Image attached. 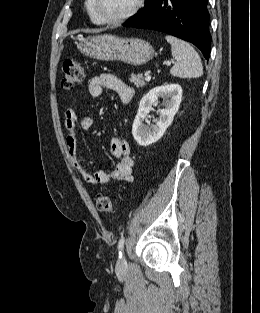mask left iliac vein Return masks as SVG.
<instances>
[{"mask_svg": "<svg viewBox=\"0 0 260 313\" xmlns=\"http://www.w3.org/2000/svg\"><path fill=\"white\" fill-rule=\"evenodd\" d=\"M126 259H125V257L124 256H122V257H120L119 259H118V261H117V265H116V267H117V269H123V268H125L126 267Z\"/></svg>", "mask_w": 260, "mask_h": 313, "instance_id": "obj_1", "label": "left iliac vein"}]
</instances>
